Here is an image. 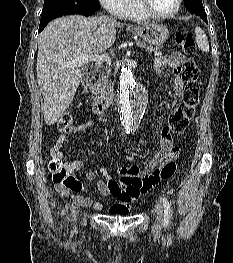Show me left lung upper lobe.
Listing matches in <instances>:
<instances>
[{"instance_id": "obj_1", "label": "left lung upper lobe", "mask_w": 233, "mask_h": 263, "mask_svg": "<svg viewBox=\"0 0 233 263\" xmlns=\"http://www.w3.org/2000/svg\"><path fill=\"white\" fill-rule=\"evenodd\" d=\"M187 9L195 15L202 17L206 15V12L203 8L202 0H184Z\"/></svg>"}]
</instances>
